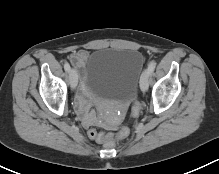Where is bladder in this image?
I'll return each mask as SVG.
<instances>
[{
    "instance_id": "bladder-1",
    "label": "bladder",
    "mask_w": 219,
    "mask_h": 174,
    "mask_svg": "<svg viewBox=\"0 0 219 174\" xmlns=\"http://www.w3.org/2000/svg\"><path fill=\"white\" fill-rule=\"evenodd\" d=\"M144 64L136 49L102 48L86 62L84 85L94 96L110 101H129L135 94Z\"/></svg>"
}]
</instances>
